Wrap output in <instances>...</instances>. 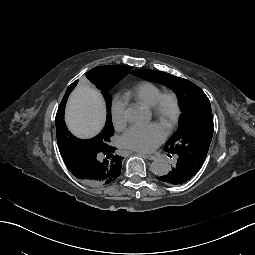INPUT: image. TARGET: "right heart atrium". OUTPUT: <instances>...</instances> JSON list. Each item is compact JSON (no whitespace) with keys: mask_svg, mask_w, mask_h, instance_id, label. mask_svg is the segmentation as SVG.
<instances>
[{"mask_svg":"<svg viewBox=\"0 0 255 255\" xmlns=\"http://www.w3.org/2000/svg\"><path fill=\"white\" fill-rule=\"evenodd\" d=\"M111 121L116 130H122L127 125V114L124 104L115 99L110 108Z\"/></svg>","mask_w":255,"mask_h":255,"instance_id":"1","label":"right heart atrium"}]
</instances>
